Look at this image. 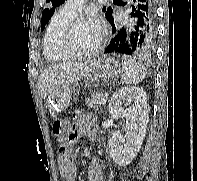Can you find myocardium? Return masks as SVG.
I'll use <instances>...</instances> for the list:
<instances>
[{"label": "myocardium", "instance_id": "f54148a6", "mask_svg": "<svg viewBox=\"0 0 197 181\" xmlns=\"http://www.w3.org/2000/svg\"><path fill=\"white\" fill-rule=\"evenodd\" d=\"M90 19L85 15H76L64 27L59 38V49L68 59H86L96 56L104 47L106 42V33L101 29V36L97 46L88 52H76L71 48V38L75 28Z\"/></svg>", "mask_w": 197, "mask_h": 181}]
</instances>
